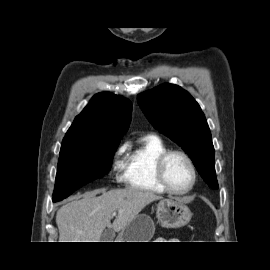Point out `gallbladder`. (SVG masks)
<instances>
[{
  "mask_svg": "<svg viewBox=\"0 0 270 270\" xmlns=\"http://www.w3.org/2000/svg\"><path fill=\"white\" fill-rule=\"evenodd\" d=\"M114 239V232L111 229H105L101 235V242H111Z\"/></svg>",
  "mask_w": 270,
  "mask_h": 270,
  "instance_id": "obj_1",
  "label": "gallbladder"
}]
</instances>
